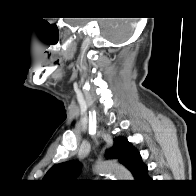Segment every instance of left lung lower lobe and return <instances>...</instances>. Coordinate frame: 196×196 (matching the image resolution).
<instances>
[{"instance_id": "left-lung-lower-lobe-1", "label": "left lung lower lobe", "mask_w": 196, "mask_h": 196, "mask_svg": "<svg viewBox=\"0 0 196 196\" xmlns=\"http://www.w3.org/2000/svg\"><path fill=\"white\" fill-rule=\"evenodd\" d=\"M141 160L139 157V160H138L139 162L137 164V167H136L134 175H133L134 178L138 181H144V180L150 179L148 176V168Z\"/></svg>"}]
</instances>
